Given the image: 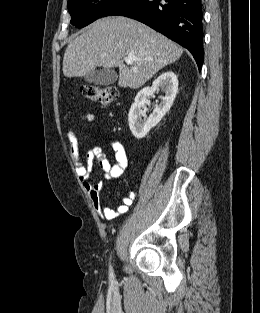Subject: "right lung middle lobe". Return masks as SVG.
Listing matches in <instances>:
<instances>
[{
    "label": "right lung middle lobe",
    "instance_id": "1",
    "mask_svg": "<svg viewBox=\"0 0 260 313\" xmlns=\"http://www.w3.org/2000/svg\"><path fill=\"white\" fill-rule=\"evenodd\" d=\"M120 0H69L68 10L71 23L76 27H84L111 9Z\"/></svg>",
    "mask_w": 260,
    "mask_h": 313
}]
</instances>
